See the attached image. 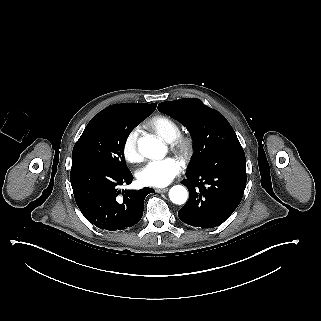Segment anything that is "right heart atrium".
Listing matches in <instances>:
<instances>
[{
    "mask_svg": "<svg viewBox=\"0 0 321 321\" xmlns=\"http://www.w3.org/2000/svg\"><path fill=\"white\" fill-rule=\"evenodd\" d=\"M122 154L128 162H137L142 159L143 153L139 147L138 128H132L125 135L122 142Z\"/></svg>",
    "mask_w": 321,
    "mask_h": 321,
    "instance_id": "obj_1",
    "label": "right heart atrium"
}]
</instances>
